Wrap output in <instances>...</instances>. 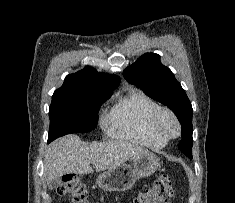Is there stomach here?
Instances as JSON below:
<instances>
[{
	"mask_svg": "<svg viewBox=\"0 0 235 203\" xmlns=\"http://www.w3.org/2000/svg\"><path fill=\"white\" fill-rule=\"evenodd\" d=\"M158 166L159 158L149 151H144L134 156L133 167L122 164L107 170L98 176L96 184L105 191H126L137 179L152 175Z\"/></svg>",
	"mask_w": 235,
	"mask_h": 203,
	"instance_id": "0dacf381",
	"label": "stomach"
}]
</instances>
